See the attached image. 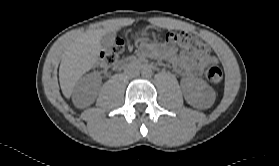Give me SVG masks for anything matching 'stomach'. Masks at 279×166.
I'll use <instances>...</instances> for the list:
<instances>
[{
  "label": "stomach",
  "instance_id": "obj_1",
  "mask_svg": "<svg viewBox=\"0 0 279 166\" xmlns=\"http://www.w3.org/2000/svg\"><path fill=\"white\" fill-rule=\"evenodd\" d=\"M144 34H145V31L142 32V35H144Z\"/></svg>",
  "mask_w": 279,
  "mask_h": 166
}]
</instances>
